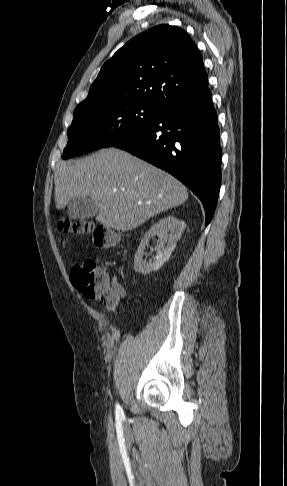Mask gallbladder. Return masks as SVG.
<instances>
[{"label":"gallbladder","instance_id":"1","mask_svg":"<svg viewBox=\"0 0 287 486\" xmlns=\"http://www.w3.org/2000/svg\"><path fill=\"white\" fill-rule=\"evenodd\" d=\"M67 213L70 219H89L97 215L98 207L90 197H74L68 203Z\"/></svg>","mask_w":287,"mask_h":486}]
</instances>
